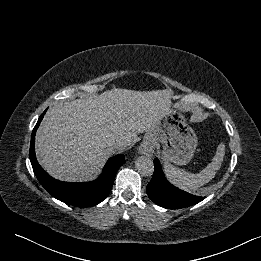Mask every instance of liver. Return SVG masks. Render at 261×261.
I'll return each instance as SVG.
<instances>
[{"label": "liver", "instance_id": "liver-1", "mask_svg": "<svg viewBox=\"0 0 261 261\" xmlns=\"http://www.w3.org/2000/svg\"><path fill=\"white\" fill-rule=\"evenodd\" d=\"M171 94L167 89L114 88L55 104L36 133L38 161L56 179L84 181L96 176L116 151V141L129 147L139 140L137 134L156 125L167 111Z\"/></svg>", "mask_w": 261, "mask_h": 261}]
</instances>
